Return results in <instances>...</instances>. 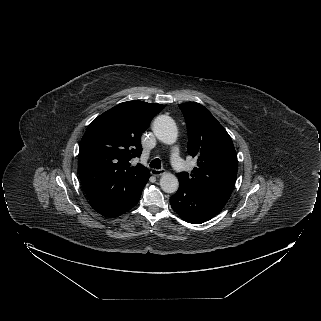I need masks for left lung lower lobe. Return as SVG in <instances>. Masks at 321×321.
Here are the masks:
<instances>
[{"label":"left lung lower lobe","mask_w":321,"mask_h":321,"mask_svg":"<svg viewBox=\"0 0 321 321\" xmlns=\"http://www.w3.org/2000/svg\"><path fill=\"white\" fill-rule=\"evenodd\" d=\"M230 195L231 192L198 188L179 182V189L170 198V203L183 220L200 224L216 216Z\"/></svg>","instance_id":"obj_1"}]
</instances>
